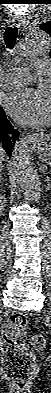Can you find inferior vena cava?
Segmentation results:
<instances>
[{"mask_svg": "<svg viewBox=\"0 0 51 393\" xmlns=\"http://www.w3.org/2000/svg\"><path fill=\"white\" fill-rule=\"evenodd\" d=\"M6 160V157L4 156V153L0 151V161L4 162Z\"/></svg>", "mask_w": 51, "mask_h": 393, "instance_id": "inferior-vena-cava-1", "label": "inferior vena cava"}]
</instances>
